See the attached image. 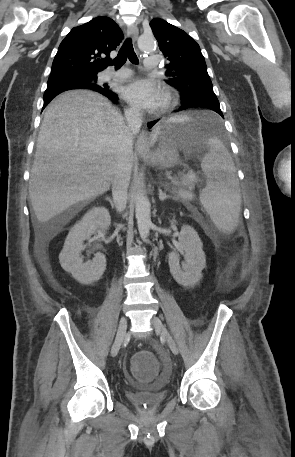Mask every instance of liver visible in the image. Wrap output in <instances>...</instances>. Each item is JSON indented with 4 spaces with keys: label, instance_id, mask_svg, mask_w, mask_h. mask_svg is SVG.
<instances>
[{
    "label": "liver",
    "instance_id": "liver-1",
    "mask_svg": "<svg viewBox=\"0 0 295 457\" xmlns=\"http://www.w3.org/2000/svg\"><path fill=\"white\" fill-rule=\"evenodd\" d=\"M102 95L73 90L47 107L37 139L29 197L39 222L107 192L119 160L133 166V137Z\"/></svg>",
    "mask_w": 295,
    "mask_h": 457
}]
</instances>
